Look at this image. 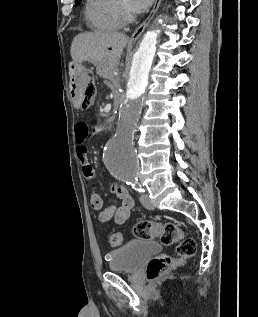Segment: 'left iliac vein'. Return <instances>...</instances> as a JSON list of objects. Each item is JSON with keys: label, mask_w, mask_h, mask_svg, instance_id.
I'll return each mask as SVG.
<instances>
[{"label": "left iliac vein", "mask_w": 258, "mask_h": 317, "mask_svg": "<svg viewBox=\"0 0 258 317\" xmlns=\"http://www.w3.org/2000/svg\"><path fill=\"white\" fill-rule=\"evenodd\" d=\"M139 201L142 202V206H145L147 209L154 208V204L150 201V198H148L147 193H140Z\"/></svg>", "instance_id": "4c4485c4"}]
</instances>
